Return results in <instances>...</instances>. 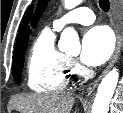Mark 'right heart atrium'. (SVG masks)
<instances>
[{
  "instance_id": "obj_1",
  "label": "right heart atrium",
  "mask_w": 123,
  "mask_h": 113,
  "mask_svg": "<svg viewBox=\"0 0 123 113\" xmlns=\"http://www.w3.org/2000/svg\"><path fill=\"white\" fill-rule=\"evenodd\" d=\"M70 68L74 73H78L80 71V66L77 62L70 60L69 62Z\"/></svg>"
}]
</instances>
